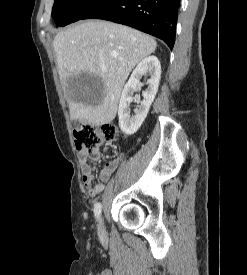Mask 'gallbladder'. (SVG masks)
Returning <instances> with one entry per match:
<instances>
[{"label": "gallbladder", "mask_w": 247, "mask_h": 275, "mask_svg": "<svg viewBox=\"0 0 247 275\" xmlns=\"http://www.w3.org/2000/svg\"><path fill=\"white\" fill-rule=\"evenodd\" d=\"M68 87L81 96L99 95L103 91L100 78L84 71L71 76L68 79Z\"/></svg>", "instance_id": "bac80fb5"}]
</instances>
